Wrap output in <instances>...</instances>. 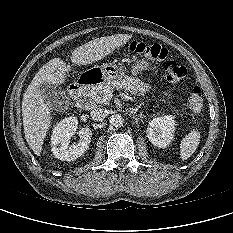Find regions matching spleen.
I'll use <instances>...</instances> for the list:
<instances>
[{"label": "spleen", "instance_id": "1", "mask_svg": "<svg viewBox=\"0 0 233 233\" xmlns=\"http://www.w3.org/2000/svg\"><path fill=\"white\" fill-rule=\"evenodd\" d=\"M200 141V133L191 131L180 143V156L182 160H187L196 151Z\"/></svg>", "mask_w": 233, "mask_h": 233}]
</instances>
